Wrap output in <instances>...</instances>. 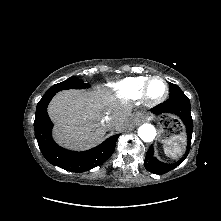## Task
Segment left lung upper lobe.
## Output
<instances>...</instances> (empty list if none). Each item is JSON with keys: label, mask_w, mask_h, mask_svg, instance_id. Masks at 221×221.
<instances>
[{"label": "left lung upper lobe", "mask_w": 221, "mask_h": 221, "mask_svg": "<svg viewBox=\"0 0 221 221\" xmlns=\"http://www.w3.org/2000/svg\"><path fill=\"white\" fill-rule=\"evenodd\" d=\"M169 90H170L169 97L185 95L184 92L176 84L173 83H170Z\"/></svg>", "instance_id": "5c2ea615"}]
</instances>
